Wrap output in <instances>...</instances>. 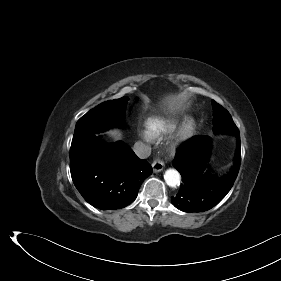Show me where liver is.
Here are the masks:
<instances>
[{
  "label": "liver",
  "instance_id": "obj_1",
  "mask_svg": "<svg viewBox=\"0 0 281 281\" xmlns=\"http://www.w3.org/2000/svg\"><path fill=\"white\" fill-rule=\"evenodd\" d=\"M186 99H187V96L185 93L168 96L167 98L164 99L163 105L166 107L167 110L172 112L177 109H180L183 106ZM107 133L109 136L113 137L115 140H118L121 138V133L117 129L110 130Z\"/></svg>",
  "mask_w": 281,
  "mask_h": 281
}]
</instances>
